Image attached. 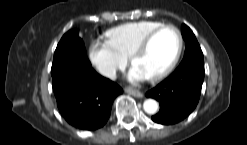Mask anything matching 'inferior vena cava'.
I'll return each instance as SVG.
<instances>
[{
	"instance_id": "inferior-vena-cava-1",
	"label": "inferior vena cava",
	"mask_w": 247,
	"mask_h": 145,
	"mask_svg": "<svg viewBox=\"0 0 247 145\" xmlns=\"http://www.w3.org/2000/svg\"><path fill=\"white\" fill-rule=\"evenodd\" d=\"M99 72L109 78H114L116 75V68L112 66H101Z\"/></svg>"
}]
</instances>
